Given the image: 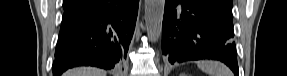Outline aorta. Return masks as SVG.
<instances>
[{"label":"aorta","instance_id":"762f6f07","mask_svg":"<svg viewBox=\"0 0 287 76\" xmlns=\"http://www.w3.org/2000/svg\"><path fill=\"white\" fill-rule=\"evenodd\" d=\"M165 0H145V25L148 38L157 42L162 33Z\"/></svg>","mask_w":287,"mask_h":76}]
</instances>
